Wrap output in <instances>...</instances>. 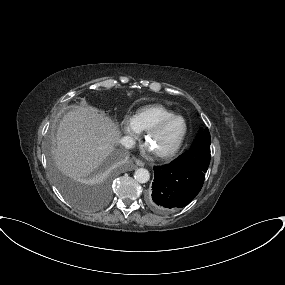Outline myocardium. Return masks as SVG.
Listing matches in <instances>:
<instances>
[{"label": "myocardium", "mask_w": 285, "mask_h": 285, "mask_svg": "<svg viewBox=\"0 0 285 285\" xmlns=\"http://www.w3.org/2000/svg\"><path fill=\"white\" fill-rule=\"evenodd\" d=\"M175 119H181L183 121L184 124V130L180 136V138L178 139L177 143L169 150L164 151V152H154L153 154L163 160H167L172 158L181 148L184 139L187 135V131H188V125L187 122L185 120V118L183 116L180 115H171L168 116L162 120H160L158 123H156L153 127H151L148 131H146L145 134V143L148 145L150 139L157 134L159 131H161L168 123H170L171 121L175 120Z\"/></svg>", "instance_id": "1"}]
</instances>
